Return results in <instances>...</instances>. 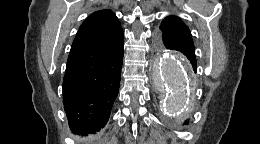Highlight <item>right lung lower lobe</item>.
Returning a JSON list of instances; mask_svg holds the SVG:
<instances>
[{
	"instance_id": "1",
	"label": "right lung lower lobe",
	"mask_w": 260,
	"mask_h": 144,
	"mask_svg": "<svg viewBox=\"0 0 260 144\" xmlns=\"http://www.w3.org/2000/svg\"><path fill=\"white\" fill-rule=\"evenodd\" d=\"M123 52V35L70 51L63 104L74 133L88 136L106 125L119 92Z\"/></svg>"
}]
</instances>
